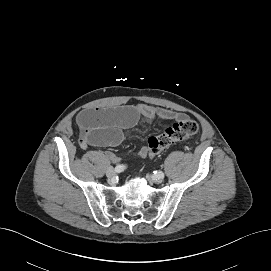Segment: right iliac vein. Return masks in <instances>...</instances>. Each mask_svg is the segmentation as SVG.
I'll use <instances>...</instances> for the list:
<instances>
[{"label": "right iliac vein", "mask_w": 271, "mask_h": 271, "mask_svg": "<svg viewBox=\"0 0 271 271\" xmlns=\"http://www.w3.org/2000/svg\"><path fill=\"white\" fill-rule=\"evenodd\" d=\"M115 174H116V173H115L114 169H112V168H109V169L107 170V172H106L107 177H108L109 179H111V180H114Z\"/></svg>", "instance_id": "right-iliac-vein-1"}]
</instances>
